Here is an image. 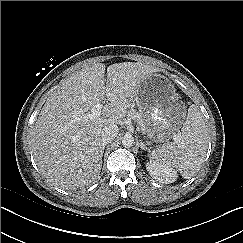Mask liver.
Instances as JSON below:
<instances>
[{"label":"liver","instance_id":"obj_1","mask_svg":"<svg viewBox=\"0 0 243 243\" xmlns=\"http://www.w3.org/2000/svg\"><path fill=\"white\" fill-rule=\"evenodd\" d=\"M94 63L69 78L47 98L32 129V151L42 172L66 190L95 181L102 167V130L121 124L140 84L157 68L141 62ZM106 83V85H105ZM105 98L101 115L90 119L91 108Z\"/></svg>","mask_w":243,"mask_h":243}]
</instances>
